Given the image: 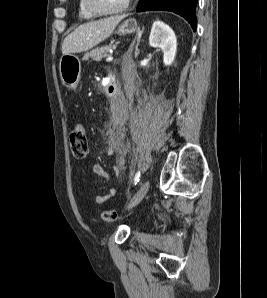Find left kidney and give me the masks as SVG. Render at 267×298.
Wrapping results in <instances>:
<instances>
[{
    "label": "left kidney",
    "mask_w": 267,
    "mask_h": 298,
    "mask_svg": "<svg viewBox=\"0 0 267 298\" xmlns=\"http://www.w3.org/2000/svg\"><path fill=\"white\" fill-rule=\"evenodd\" d=\"M149 44L154 48H161L163 51V63L170 66L177 52V38L174 31L162 21H156L151 29Z\"/></svg>",
    "instance_id": "5707ae66"
}]
</instances>
